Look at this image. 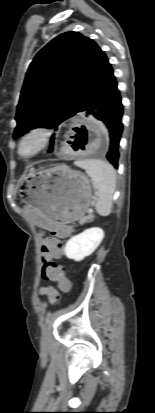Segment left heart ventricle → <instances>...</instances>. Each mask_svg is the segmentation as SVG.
I'll return each instance as SVG.
<instances>
[{"mask_svg": "<svg viewBox=\"0 0 155 413\" xmlns=\"http://www.w3.org/2000/svg\"><path fill=\"white\" fill-rule=\"evenodd\" d=\"M33 148H34V143L33 142H31V141L26 142L22 147V152L24 154H28L33 150Z\"/></svg>", "mask_w": 155, "mask_h": 413, "instance_id": "b2bd125f", "label": "left heart ventricle"}]
</instances>
